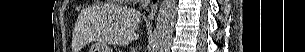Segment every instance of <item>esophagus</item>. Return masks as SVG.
Here are the masks:
<instances>
[{
  "mask_svg": "<svg viewBox=\"0 0 305 52\" xmlns=\"http://www.w3.org/2000/svg\"><path fill=\"white\" fill-rule=\"evenodd\" d=\"M156 12H157V5H153V6L151 7L150 12H149L148 18H149L150 20L154 19L155 15H156Z\"/></svg>",
  "mask_w": 305,
  "mask_h": 52,
  "instance_id": "esophagus-1",
  "label": "esophagus"
}]
</instances>
